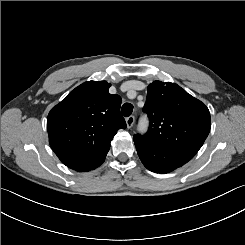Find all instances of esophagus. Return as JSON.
<instances>
[{"instance_id": "1", "label": "esophagus", "mask_w": 245, "mask_h": 245, "mask_svg": "<svg viewBox=\"0 0 245 245\" xmlns=\"http://www.w3.org/2000/svg\"><path fill=\"white\" fill-rule=\"evenodd\" d=\"M134 121H135V118L134 116H129L126 118V124H127V128H131L133 125H134Z\"/></svg>"}]
</instances>
